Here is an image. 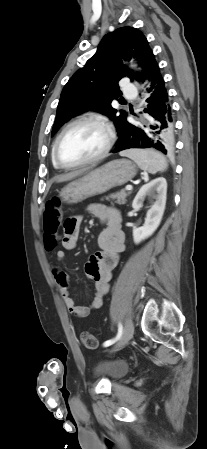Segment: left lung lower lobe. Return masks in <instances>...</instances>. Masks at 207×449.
Wrapping results in <instances>:
<instances>
[{
  "instance_id": "0a47b994",
  "label": "left lung lower lobe",
  "mask_w": 207,
  "mask_h": 449,
  "mask_svg": "<svg viewBox=\"0 0 207 449\" xmlns=\"http://www.w3.org/2000/svg\"><path fill=\"white\" fill-rule=\"evenodd\" d=\"M145 79L150 85V97L144 110L149 115L147 123L138 127L125 121L118 132L119 139L113 153L129 148H155L167 154L174 148L173 111L156 61L150 66Z\"/></svg>"
}]
</instances>
